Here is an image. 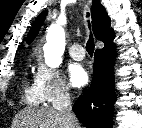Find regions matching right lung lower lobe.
<instances>
[{
	"instance_id": "obj_1",
	"label": "right lung lower lobe",
	"mask_w": 142,
	"mask_h": 128,
	"mask_svg": "<svg viewBox=\"0 0 142 128\" xmlns=\"http://www.w3.org/2000/svg\"><path fill=\"white\" fill-rule=\"evenodd\" d=\"M114 46L96 50L90 88L73 106L79 121L86 128H111L116 101L113 75Z\"/></svg>"
}]
</instances>
